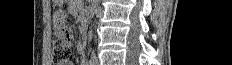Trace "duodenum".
<instances>
[{
    "label": "duodenum",
    "mask_w": 232,
    "mask_h": 65,
    "mask_svg": "<svg viewBox=\"0 0 232 65\" xmlns=\"http://www.w3.org/2000/svg\"><path fill=\"white\" fill-rule=\"evenodd\" d=\"M81 41L82 43H86L87 41V29L85 27L81 30Z\"/></svg>",
    "instance_id": "1"
}]
</instances>
